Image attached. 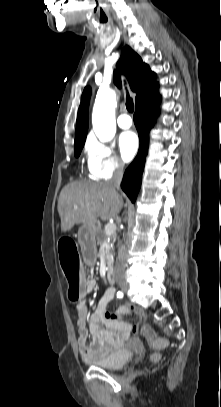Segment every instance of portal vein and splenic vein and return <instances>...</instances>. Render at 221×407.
Returning <instances> with one entry per match:
<instances>
[{
	"label": "portal vein and splenic vein",
	"mask_w": 221,
	"mask_h": 407,
	"mask_svg": "<svg viewBox=\"0 0 221 407\" xmlns=\"http://www.w3.org/2000/svg\"><path fill=\"white\" fill-rule=\"evenodd\" d=\"M76 208H77V206H76ZM115 230H116V224H114V223H108L105 226V233L107 235L112 234Z\"/></svg>",
	"instance_id": "18ae733b"
}]
</instances>
